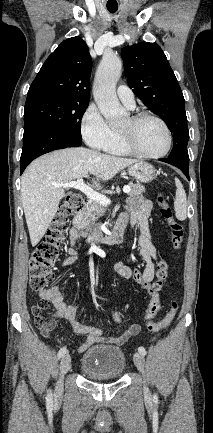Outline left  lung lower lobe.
Here are the masks:
<instances>
[{"label": "left lung lower lobe", "instance_id": "0a47b994", "mask_svg": "<svg viewBox=\"0 0 213 433\" xmlns=\"http://www.w3.org/2000/svg\"><path fill=\"white\" fill-rule=\"evenodd\" d=\"M163 162L169 163L177 168H179L184 174L185 176L189 179V163H184L181 161H177V160H172L170 158L167 159H160Z\"/></svg>", "mask_w": 213, "mask_h": 433}]
</instances>
